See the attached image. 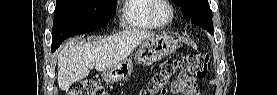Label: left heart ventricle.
I'll list each match as a JSON object with an SVG mask.
<instances>
[{
	"mask_svg": "<svg viewBox=\"0 0 277 95\" xmlns=\"http://www.w3.org/2000/svg\"><path fill=\"white\" fill-rule=\"evenodd\" d=\"M154 12L158 19L163 20L166 17L168 11L165 7L158 6Z\"/></svg>",
	"mask_w": 277,
	"mask_h": 95,
	"instance_id": "b2bd125f",
	"label": "left heart ventricle"
}]
</instances>
